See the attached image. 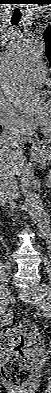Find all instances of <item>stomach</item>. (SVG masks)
Here are the masks:
<instances>
[{
    "instance_id": "stomach-1",
    "label": "stomach",
    "mask_w": 51,
    "mask_h": 393,
    "mask_svg": "<svg viewBox=\"0 0 51 393\" xmlns=\"http://www.w3.org/2000/svg\"><path fill=\"white\" fill-rule=\"evenodd\" d=\"M33 158L37 163L41 165L51 164V146H41L37 151L33 153Z\"/></svg>"
}]
</instances>
